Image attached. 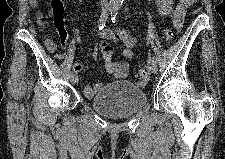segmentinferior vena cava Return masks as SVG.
Returning a JSON list of instances; mask_svg holds the SVG:
<instances>
[{
    "label": "inferior vena cava",
    "instance_id": "inferior-vena-cava-1",
    "mask_svg": "<svg viewBox=\"0 0 225 159\" xmlns=\"http://www.w3.org/2000/svg\"><path fill=\"white\" fill-rule=\"evenodd\" d=\"M106 3H107L106 0H101V1H100V4H101V5H106Z\"/></svg>",
    "mask_w": 225,
    "mask_h": 159
}]
</instances>
